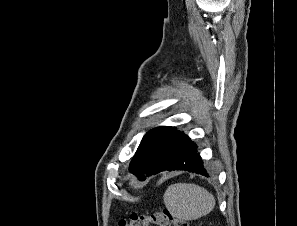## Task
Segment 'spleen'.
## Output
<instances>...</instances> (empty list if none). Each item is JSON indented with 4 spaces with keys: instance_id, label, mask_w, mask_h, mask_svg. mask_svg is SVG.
<instances>
[{
    "instance_id": "3e777b00",
    "label": "spleen",
    "mask_w": 297,
    "mask_h": 226,
    "mask_svg": "<svg viewBox=\"0 0 297 226\" xmlns=\"http://www.w3.org/2000/svg\"><path fill=\"white\" fill-rule=\"evenodd\" d=\"M164 204L177 219L191 221L210 213L216 204L215 197L194 183H175L166 189Z\"/></svg>"
}]
</instances>
